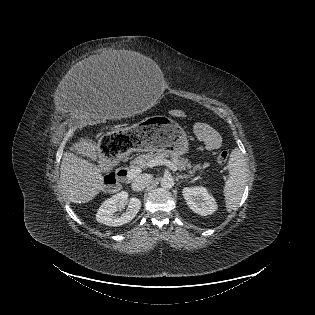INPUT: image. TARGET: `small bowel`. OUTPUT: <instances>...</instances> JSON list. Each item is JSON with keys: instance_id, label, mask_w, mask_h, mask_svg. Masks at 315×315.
I'll use <instances>...</instances> for the list:
<instances>
[{"instance_id": "c3829d8e", "label": "small bowel", "mask_w": 315, "mask_h": 315, "mask_svg": "<svg viewBox=\"0 0 315 315\" xmlns=\"http://www.w3.org/2000/svg\"><path fill=\"white\" fill-rule=\"evenodd\" d=\"M196 136L203 142L206 150H214L221 146L219 133L206 123H197L194 127Z\"/></svg>"}]
</instances>
